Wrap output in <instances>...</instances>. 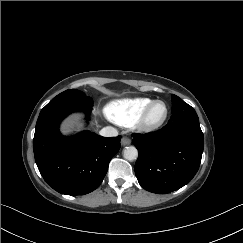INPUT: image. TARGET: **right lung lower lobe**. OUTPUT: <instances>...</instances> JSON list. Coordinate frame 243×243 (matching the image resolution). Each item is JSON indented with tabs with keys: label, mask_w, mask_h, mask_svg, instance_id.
I'll use <instances>...</instances> for the list:
<instances>
[{
	"label": "right lung lower lobe",
	"mask_w": 243,
	"mask_h": 243,
	"mask_svg": "<svg viewBox=\"0 0 243 243\" xmlns=\"http://www.w3.org/2000/svg\"><path fill=\"white\" fill-rule=\"evenodd\" d=\"M76 111L88 115L91 108L62 104L43 108L33 140L35 161L42 177L54 190L66 195H84L95 190L120 149V136L106 138L89 131L62 136L60 122Z\"/></svg>",
	"instance_id": "right-lung-lower-lobe-1"
}]
</instances>
